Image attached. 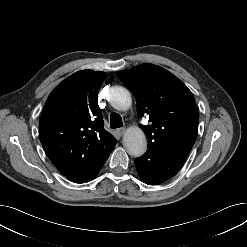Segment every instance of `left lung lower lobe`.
<instances>
[{
	"instance_id": "0a47b994",
	"label": "left lung lower lobe",
	"mask_w": 247,
	"mask_h": 247,
	"mask_svg": "<svg viewBox=\"0 0 247 247\" xmlns=\"http://www.w3.org/2000/svg\"><path fill=\"white\" fill-rule=\"evenodd\" d=\"M190 151L180 145L149 147L143 156L135 159L137 172L146 184H161L178 172Z\"/></svg>"
}]
</instances>
